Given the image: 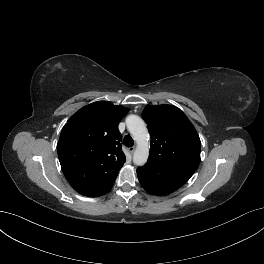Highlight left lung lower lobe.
Listing matches in <instances>:
<instances>
[{
    "label": "left lung lower lobe",
    "instance_id": "left-lung-lower-lobe-1",
    "mask_svg": "<svg viewBox=\"0 0 264 264\" xmlns=\"http://www.w3.org/2000/svg\"><path fill=\"white\" fill-rule=\"evenodd\" d=\"M137 174L142 187L156 196L170 194L187 181L178 175L163 172L157 164L151 162L138 168Z\"/></svg>",
    "mask_w": 264,
    "mask_h": 264
}]
</instances>
